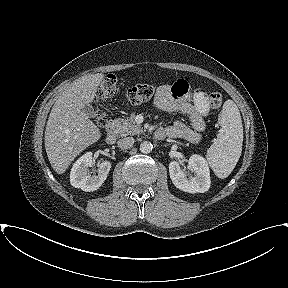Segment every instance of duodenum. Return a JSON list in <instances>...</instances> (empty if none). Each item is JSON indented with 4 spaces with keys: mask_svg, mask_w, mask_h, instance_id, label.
Instances as JSON below:
<instances>
[{
    "mask_svg": "<svg viewBox=\"0 0 288 288\" xmlns=\"http://www.w3.org/2000/svg\"><path fill=\"white\" fill-rule=\"evenodd\" d=\"M106 140L108 144H114L117 136V125L114 121H109L106 125ZM166 134L163 130L159 129L154 133V138L157 140L165 139Z\"/></svg>",
    "mask_w": 288,
    "mask_h": 288,
    "instance_id": "1",
    "label": "duodenum"
}]
</instances>
